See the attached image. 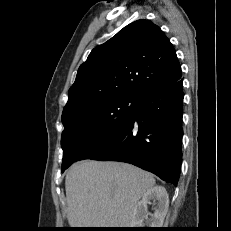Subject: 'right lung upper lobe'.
<instances>
[{
	"instance_id": "1",
	"label": "right lung upper lobe",
	"mask_w": 231,
	"mask_h": 231,
	"mask_svg": "<svg viewBox=\"0 0 231 231\" xmlns=\"http://www.w3.org/2000/svg\"><path fill=\"white\" fill-rule=\"evenodd\" d=\"M181 76L176 51L164 32L149 20L135 21L91 51L69 89L62 116L116 97H137Z\"/></svg>"
}]
</instances>
